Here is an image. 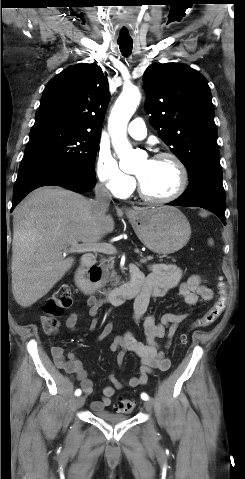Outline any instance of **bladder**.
<instances>
[{
	"instance_id": "bladder-1",
	"label": "bladder",
	"mask_w": 245,
	"mask_h": 479,
	"mask_svg": "<svg viewBox=\"0 0 245 479\" xmlns=\"http://www.w3.org/2000/svg\"><path fill=\"white\" fill-rule=\"evenodd\" d=\"M95 417H97L99 419H102V420H105V421H108V422H113V423L123 422V421H126L127 419L130 418L129 415L116 414V413H112V412H100V413L95 414Z\"/></svg>"
}]
</instances>
